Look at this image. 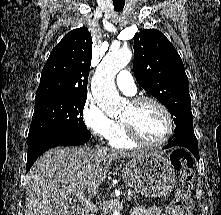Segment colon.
<instances>
[{"label":"colon","instance_id":"obj_1","mask_svg":"<svg viewBox=\"0 0 221 215\" xmlns=\"http://www.w3.org/2000/svg\"><path fill=\"white\" fill-rule=\"evenodd\" d=\"M171 162L179 173L173 207L179 215H192L194 203L190 193L193 181V158L184 149H174L171 153Z\"/></svg>","mask_w":221,"mask_h":215}]
</instances>
